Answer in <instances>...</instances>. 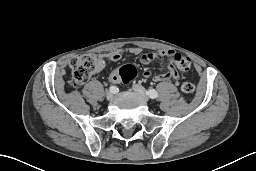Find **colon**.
Here are the masks:
<instances>
[{"label":"colon","mask_w":256,"mask_h":171,"mask_svg":"<svg viewBox=\"0 0 256 171\" xmlns=\"http://www.w3.org/2000/svg\"><path fill=\"white\" fill-rule=\"evenodd\" d=\"M175 64L181 70L187 71L191 67V60L187 56L177 55L174 58ZM72 70L71 83L74 86L85 83L91 74L100 71L104 67V60L93 54H83L72 58L70 62ZM138 75V70L134 65L126 64L117 70V76L122 83H130ZM182 93L186 96L191 95L194 92L193 83L186 81L180 86Z\"/></svg>","instance_id":"colon-1"}]
</instances>
